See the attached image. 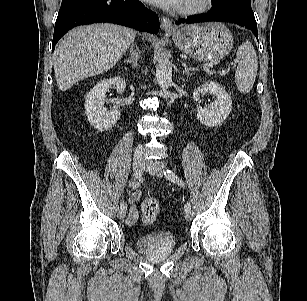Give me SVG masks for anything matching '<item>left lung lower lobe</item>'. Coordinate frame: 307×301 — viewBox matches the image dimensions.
<instances>
[{"instance_id": "0a47b994", "label": "left lung lower lobe", "mask_w": 307, "mask_h": 301, "mask_svg": "<svg viewBox=\"0 0 307 301\" xmlns=\"http://www.w3.org/2000/svg\"><path fill=\"white\" fill-rule=\"evenodd\" d=\"M231 22L250 29L258 40L257 23L251 7H229L223 9H213L207 14L180 19L176 24L180 23H198V22Z\"/></svg>"}]
</instances>
